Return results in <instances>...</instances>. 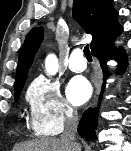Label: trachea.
I'll use <instances>...</instances> for the list:
<instances>
[{
  "instance_id": "1",
  "label": "trachea",
  "mask_w": 131,
  "mask_h": 151,
  "mask_svg": "<svg viewBox=\"0 0 131 151\" xmlns=\"http://www.w3.org/2000/svg\"><path fill=\"white\" fill-rule=\"evenodd\" d=\"M84 55H85V57H86L87 60H92V56H91V53H90L88 45H86L84 47Z\"/></svg>"
}]
</instances>
